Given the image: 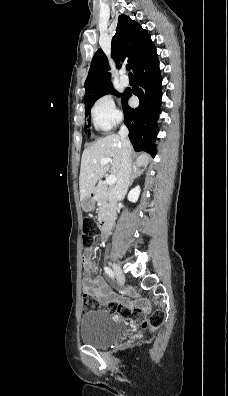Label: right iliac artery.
Listing matches in <instances>:
<instances>
[{
    "instance_id": "82829eb1",
    "label": "right iliac artery",
    "mask_w": 228,
    "mask_h": 396,
    "mask_svg": "<svg viewBox=\"0 0 228 396\" xmlns=\"http://www.w3.org/2000/svg\"><path fill=\"white\" fill-rule=\"evenodd\" d=\"M104 270H105L106 274H107L109 277H111V278H114V277H115L114 272H113L109 267H104Z\"/></svg>"
}]
</instances>
